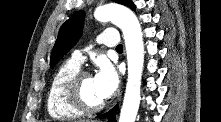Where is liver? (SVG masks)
<instances>
[{
    "mask_svg": "<svg viewBox=\"0 0 221 122\" xmlns=\"http://www.w3.org/2000/svg\"><path fill=\"white\" fill-rule=\"evenodd\" d=\"M79 122H88V121H86V120H80Z\"/></svg>",
    "mask_w": 221,
    "mask_h": 122,
    "instance_id": "liver-1",
    "label": "liver"
}]
</instances>
